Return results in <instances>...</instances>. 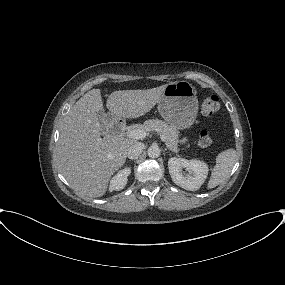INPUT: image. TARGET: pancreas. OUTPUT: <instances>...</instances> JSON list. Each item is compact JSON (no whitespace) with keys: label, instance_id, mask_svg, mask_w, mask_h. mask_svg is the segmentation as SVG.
Segmentation results:
<instances>
[{"label":"pancreas","instance_id":"cf45deb5","mask_svg":"<svg viewBox=\"0 0 285 285\" xmlns=\"http://www.w3.org/2000/svg\"><path fill=\"white\" fill-rule=\"evenodd\" d=\"M142 128L147 132L155 131L160 135H164L166 146L173 152H178L179 132L175 127L168 125L166 122L159 119L147 120Z\"/></svg>","mask_w":285,"mask_h":285}]
</instances>
